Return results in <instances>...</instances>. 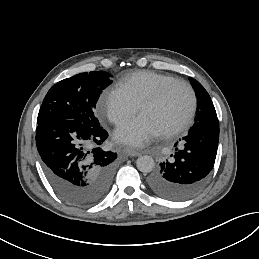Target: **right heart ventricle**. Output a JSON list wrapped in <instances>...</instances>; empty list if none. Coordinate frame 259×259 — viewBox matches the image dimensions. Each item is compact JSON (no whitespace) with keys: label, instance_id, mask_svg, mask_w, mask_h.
Masks as SVG:
<instances>
[{"label":"right heart ventricle","instance_id":"e07e8e85","mask_svg":"<svg viewBox=\"0 0 259 259\" xmlns=\"http://www.w3.org/2000/svg\"><path fill=\"white\" fill-rule=\"evenodd\" d=\"M173 78L170 74L141 71L123 78L117 88L140 105L142 101L151 97L162 83Z\"/></svg>","mask_w":259,"mask_h":259}]
</instances>
